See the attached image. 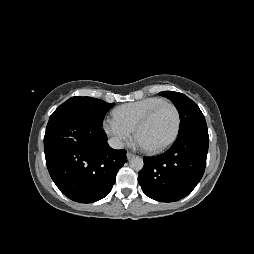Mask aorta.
<instances>
[{
	"instance_id": "obj_1",
	"label": "aorta",
	"mask_w": 254,
	"mask_h": 254,
	"mask_svg": "<svg viewBox=\"0 0 254 254\" xmlns=\"http://www.w3.org/2000/svg\"><path fill=\"white\" fill-rule=\"evenodd\" d=\"M144 162L141 157H133L130 160V167L136 171H140L143 168Z\"/></svg>"
}]
</instances>
